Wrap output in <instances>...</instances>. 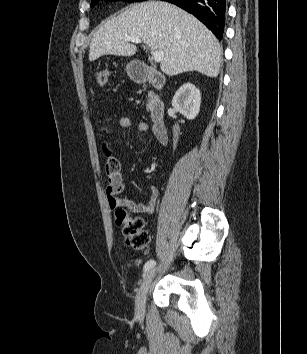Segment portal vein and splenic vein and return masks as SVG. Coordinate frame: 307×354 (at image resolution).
I'll use <instances>...</instances> for the list:
<instances>
[{"label":"portal vein and splenic vein","mask_w":307,"mask_h":354,"mask_svg":"<svg viewBox=\"0 0 307 354\" xmlns=\"http://www.w3.org/2000/svg\"><path fill=\"white\" fill-rule=\"evenodd\" d=\"M125 41L127 42H132V43H141V39L139 37H135V36H127L125 38ZM151 55H152V59L155 62H160L163 58H164V52L162 50H151Z\"/></svg>","instance_id":"obj_1"}]
</instances>
